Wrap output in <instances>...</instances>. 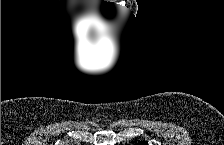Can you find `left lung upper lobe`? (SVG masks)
<instances>
[{
  "label": "left lung upper lobe",
  "instance_id": "obj_1",
  "mask_svg": "<svg viewBox=\"0 0 224 145\" xmlns=\"http://www.w3.org/2000/svg\"><path fill=\"white\" fill-rule=\"evenodd\" d=\"M140 145H146L145 143H140Z\"/></svg>",
  "mask_w": 224,
  "mask_h": 145
}]
</instances>
